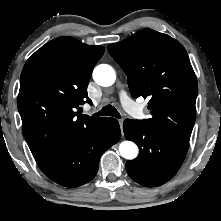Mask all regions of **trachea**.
<instances>
[{"label":"trachea","instance_id":"3493384b","mask_svg":"<svg viewBox=\"0 0 221 221\" xmlns=\"http://www.w3.org/2000/svg\"><path fill=\"white\" fill-rule=\"evenodd\" d=\"M94 116H113L116 118H121V115L116 108L110 104L104 106L99 112L95 113Z\"/></svg>","mask_w":221,"mask_h":221}]
</instances>
